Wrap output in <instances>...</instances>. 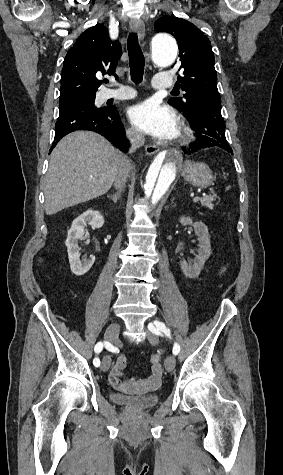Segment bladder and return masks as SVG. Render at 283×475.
Here are the masks:
<instances>
[{
	"label": "bladder",
	"mask_w": 283,
	"mask_h": 475,
	"mask_svg": "<svg viewBox=\"0 0 283 475\" xmlns=\"http://www.w3.org/2000/svg\"><path fill=\"white\" fill-rule=\"evenodd\" d=\"M113 401L117 404H124L133 408H138L139 410H146L148 408L156 406L160 401V394L155 393L154 395H141L139 397H128L121 393H114Z\"/></svg>",
	"instance_id": "31cf9c89"
}]
</instances>
